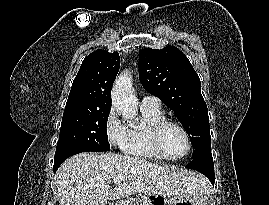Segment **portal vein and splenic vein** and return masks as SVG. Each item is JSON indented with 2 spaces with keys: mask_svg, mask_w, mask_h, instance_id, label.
Listing matches in <instances>:
<instances>
[{
  "mask_svg": "<svg viewBox=\"0 0 269 205\" xmlns=\"http://www.w3.org/2000/svg\"><path fill=\"white\" fill-rule=\"evenodd\" d=\"M123 181V179L122 178H115V179H113V183L114 184H118V183H121Z\"/></svg>",
  "mask_w": 269,
  "mask_h": 205,
  "instance_id": "1",
  "label": "portal vein and splenic vein"
}]
</instances>
